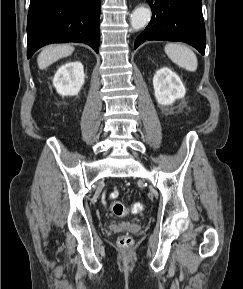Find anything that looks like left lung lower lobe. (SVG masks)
I'll list each match as a JSON object with an SVG mask.
<instances>
[{"label":"left lung lower lobe","mask_w":243,"mask_h":289,"mask_svg":"<svg viewBox=\"0 0 243 289\" xmlns=\"http://www.w3.org/2000/svg\"><path fill=\"white\" fill-rule=\"evenodd\" d=\"M152 19L134 48L146 40L181 41L205 54L206 33L201 0H148Z\"/></svg>","instance_id":"1"}]
</instances>
